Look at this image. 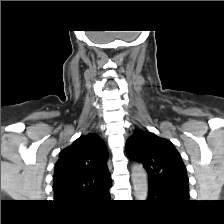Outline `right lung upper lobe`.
<instances>
[{
	"mask_svg": "<svg viewBox=\"0 0 224 224\" xmlns=\"http://www.w3.org/2000/svg\"><path fill=\"white\" fill-rule=\"evenodd\" d=\"M107 159L106 147L97 134L81 136L63 149L53 177L55 201L75 204L107 195L112 184Z\"/></svg>",
	"mask_w": 224,
	"mask_h": 224,
	"instance_id": "1",
	"label": "right lung upper lobe"
}]
</instances>
